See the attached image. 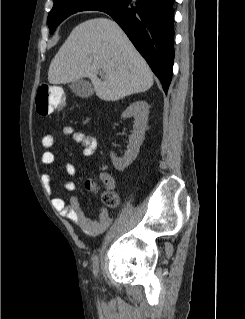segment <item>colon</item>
Returning <instances> with one entry per match:
<instances>
[{
  "instance_id": "obj_1",
  "label": "colon",
  "mask_w": 245,
  "mask_h": 319,
  "mask_svg": "<svg viewBox=\"0 0 245 319\" xmlns=\"http://www.w3.org/2000/svg\"><path fill=\"white\" fill-rule=\"evenodd\" d=\"M64 102L65 95L60 87L48 84L39 86L36 96V111L39 115H50L56 109L62 108ZM88 186L91 187L92 184L88 183ZM102 202L107 208H114L118 204V197L112 192H105Z\"/></svg>"
}]
</instances>
